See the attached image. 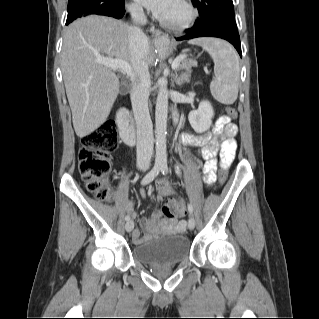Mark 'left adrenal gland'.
I'll return each instance as SVG.
<instances>
[{
    "instance_id": "1",
    "label": "left adrenal gland",
    "mask_w": 319,
    "mask_h": 319,
    "mask_svg": "<svg viewBox=\"0 0 319 319\" xmlns=\"http://www.w3.org/2000/svg\"><path fill=\"white\" fill-rule=\"evenodd\" d=\"M178 86H181L183 83L188 82L189 78L185 74H181L178 76V74L175 72L174 80H173Z\"/></svg>"
}]
</instances>
